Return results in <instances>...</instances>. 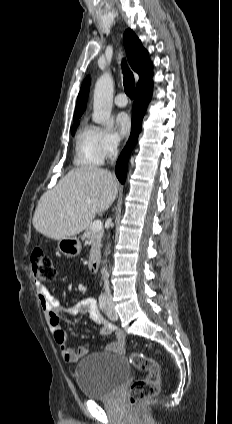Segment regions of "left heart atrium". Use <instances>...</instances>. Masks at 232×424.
Masks as SVG:
<instances>
[{
    "label": "left heart atrium",
    "mask_w": 232,
    "mask_h": 424,
    "mask_svg": "<svg viewBox=\"0 0 232 424\" xmlns=\"http://www.w3.org/2000/svg\"><path fill=\"white\" fill-rule=\"evenodd\" d=\"M116 124L122 136H126L129 133L131 124L130 118L126 113L122 112L117 115Z\"/></svg>",
    "instance_id": "left-heart-atrium-1"
}]
</instances>
